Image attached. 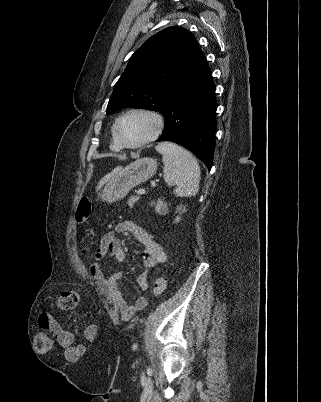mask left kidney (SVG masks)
Returning a JSON list of instances; mask_svg holds the SVG:
<instances>
[{
  "instance_id": "1",
  "label": "left kidney",
  "mask_w": 321,
  "mask_h": 402,
  "mask_svg": "<svg viewBox=\"0 0 321 402\" xmlns=\"http://www.w3.org/2000/svg\"><path fill=\"white\" fill-rule=\"evenodd\" d=\"M155 211L160 215H165L168 211L167 204L164 203V201H162L161 199H158L155 206Z\"/></svg>"
}]
</instances>
